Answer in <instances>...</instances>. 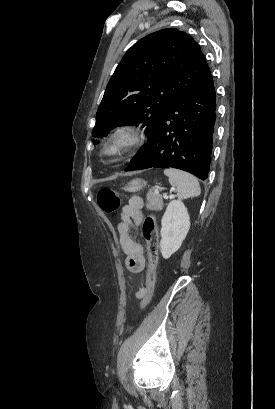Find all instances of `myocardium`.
<instances>
[{
    "label": "myocardium",
    "instance_id": "obj_1",
    "mask_svg": "<svg viewBox=\"0 0 275 409\" xmlns=\"http://www.w3.org/2000/svg\"><path fill=\"white\" fill-rule=\"evenodd\" d=\"M139 140L138 131L131 126L117 129L104 146V154L109 157L117 156L135 145Z\"/></svg>",
    "mask_w": 275,
    "mask_h": 409
}]
</instances>
